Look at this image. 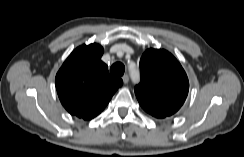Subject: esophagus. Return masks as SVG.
<instances>
[{"instance_id":"esophagus-1","label":"esophagus","mask_w":244,"mask_h":157,"mask_svg":"<svg viewBox=\"0 0 244 157\" xmlns=\"http://www.w3.org/2000/svg\"><path fill=\"white\" fill-rule=\"evenodd\" d=\"M122 80L124 82V84H127L129 82V76L127 74H125L123 77H122Z\"/></svg>"}]
</instances>
